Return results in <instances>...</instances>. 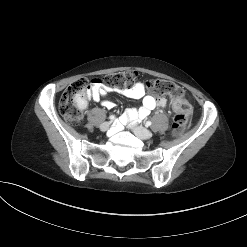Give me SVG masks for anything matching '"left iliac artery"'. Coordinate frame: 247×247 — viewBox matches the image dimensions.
Here are the masks:
<instances>
[{"mask_svg":"<svg viewBox=\"0 0 247 247\" xmlns=\"http://www.w3.org/2000/svg\"><path fill=\"white\" fill-rule=\"evenodd\" d=\"M151 121H146V123H145V125L147 126V127H149V126H151Z\"/></svg>","mask_w":247,"mask_h":247,"instance_id":"left-iliac-artery-1","label":"left iliac artery"}]
</instances>
